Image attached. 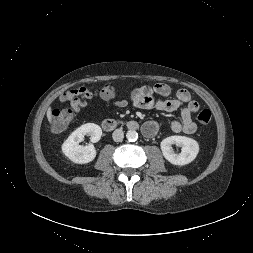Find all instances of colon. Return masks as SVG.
Here are the masks:
<instances>
[{
    "label": "colon",
    "mask_w": 253,
    "mask_h": 253,
    "mask_svg": "<svg viewBox=\"0 0 253 253\" xmlns=\"http://www.w3.org/2000/svg\"><path fill=\"white\" fill-rule=\"evenodd\" d=\"M116 94L115 88L110 84H105L100 89V96L104 99H110ZM73 120V112L70 109H55L52 112V130L62 132L68 128ZM197 121L201 125H208L211 121V112L208 109L201 110L197 115Z\"/></svg>",
    "instance_id": "1"
}]
</instances>
